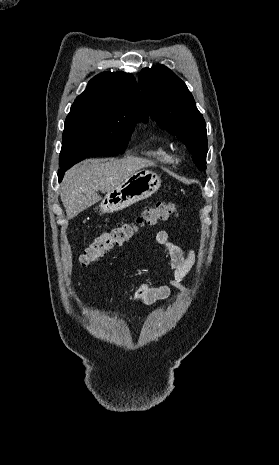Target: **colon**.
<instances>
[{
    "instance_id": "obj_1",
    "label": "colon",
    "mask_w": 279,
    "mask_h": 465,
    "mask_svg": "<svg viewBox=\"0 0 279 465\" xmlns=\"http://www.w3.org/2000/svg\"><path fill=\"white\" fill-rule=\"evenodd\" d=\"M178 214V206L174 203L158 202L147 208L132 223H126L104 231L96 236L92 242L84 249L79 260L82 266L86 267L115 246L128 242L141 227L154 225L159 221L167 220L171 216Z\"/></svg>"
}]
</instances>
